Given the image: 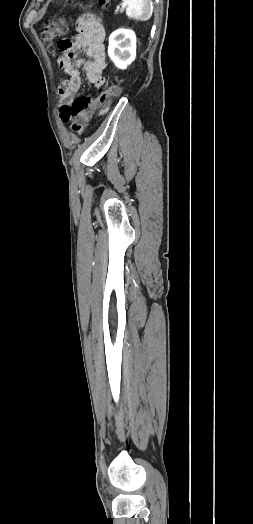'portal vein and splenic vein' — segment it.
Segmentation results:
<instances>
[{
	"instance_id": "portal-vein-and-splenic-vein-1",
	"label": "portal vein and splenic vein",
	"mask_w": 253,
	"mask_h": 524,
	"mask_svg": "<svg viewBox=\"0 0 253 524\" xmlns=\"http://www.w3.org/2000/svg\"><path fill=\"white\" fill-rule=\"evenodd\" d=\"M125 8H126V5H123V6L121 7V11H123Z\"/></svg>"
}]
</instances>
